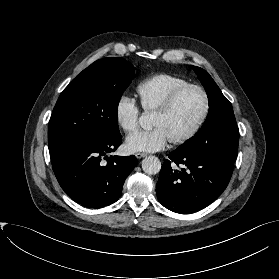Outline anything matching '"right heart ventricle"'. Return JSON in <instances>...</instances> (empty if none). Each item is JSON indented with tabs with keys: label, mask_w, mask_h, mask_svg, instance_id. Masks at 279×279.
Segmentation results:
<instances>
[{
	"label": "right heart ventricle",
	"mask_w": 279,
	"mask_h": 279,
	"mask_svg": "<svg viewBox=\"0 0 279 279\" xmlns=\"http://www.w3.org/2000/svg\"><path fill=\"white\" fill-rule=\"evenodd\" d=\"M189 82L172 74H156L140 82L136 88L140 105L145 112L153 113L176 88Z\"/></svg>",
	"instance_id": "right-heart-ventricle-1"
}]
</instances>
